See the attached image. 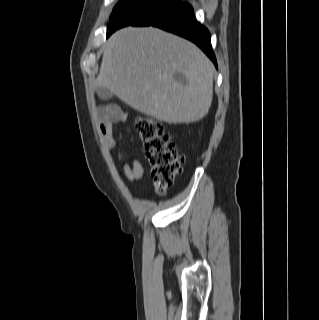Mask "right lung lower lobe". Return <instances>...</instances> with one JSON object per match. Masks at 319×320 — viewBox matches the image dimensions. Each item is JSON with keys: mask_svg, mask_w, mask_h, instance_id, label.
Segmentation results:
<instances>
[{"mask_svg": "<svg viewBox=\"0 0 319 320\" xmlns=\"http://www.w3.org/2000/svg\"><path fill=\"white\" fill-rule=\"evenodd\" d=\"M133 26H156L187 38L198 45L217 67L216 57L211 46L209 31L200 25L194 16L193 8L179 0L173 6L151 13L136 21ZM119 29V28H117ZM116 29L107 32V37Z\"/></svg>", "mask_w": 319, "mask_h": 320, "instance_id": "right-lung-lower-lobe-1", "label": "right lung lower lobe"}]
</instances>
